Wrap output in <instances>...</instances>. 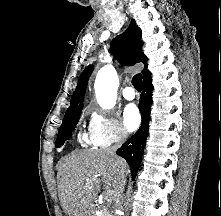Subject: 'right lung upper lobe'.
<instances>
[{
    "label": "right lung upper lobe",
    "instance_id": "right-lung-upper-lobe-1",
    "mask_svg": "<svg viewBox=\"0 0 221 216\" xmlns=\"http://www.w3.org/2000/svg\"><path fill=\"white\" fill-rule=\"evenodd\" d=\"M141 35V29L136 25V22L132 20L128 30L112 41L111 51L122 65H133L134 63L143 62L145 65L142 70L144 80L149 77L151 73L147 70V58L142 53L143 42L141 41ZM91 72L92 67H87L80 75L77 87L70 101V107L67 109L64 117L82 110L87 81Z\"/></svg>",
    "mask_w": 221,
    "mask_h": 216
}]
</instances>
